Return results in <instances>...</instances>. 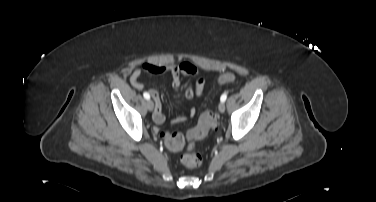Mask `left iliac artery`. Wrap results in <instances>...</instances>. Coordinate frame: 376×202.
I'll return each instance as SVG.
<instances>
[{
    "instance_id": "obj_1",
    "label": "left iliac artery",
    "mask_w": 376,
    "mask_h": 202,
    "mask_svg": "<svg viewBox=\"0 0 376 202\" xmlns=\"http://www.w3.org/2000/svg\"><path fill=\"white\" fill-rule=\"evenodd\" d=\"M226 99H227V94L226 93L222 94L220 98L221 102H225Z\"/></svg>"
}]
</instances>
